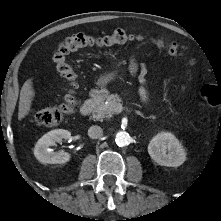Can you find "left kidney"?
<instances>
[{"instance_id": "left-kidney-1", "label": "left kidney", "mask_w": 221, "mask_h": 221, "mask_svg": "<svg viewBox=\"0 0 221 221\" xmlns=\"http://www.w3.org/2000/svg\"><path fill=\"white\" fill-rule=\"evenodd\" d=\"M148 153L161 166L178 167L186 160L185 149L171 132L154 136L148 145Z\"/></svg>"}]
</instances>
